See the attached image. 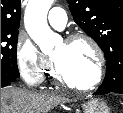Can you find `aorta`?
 Returning <instances> with one entry per match:
<instances>
[{"mask_svg": "<svg viewBox=\"0 0 123 113\" xmlns=\"http://www.w3.org/2000/svg\"><path fill=\"white\" fill-rule=\"evenodd\" d=\"M52 3L53 0H29L24 15L27 33L44 54H50L60 40L47 23V13Z\"/></svg>", "mask_w": 123, "mask_h": 113, "instance_id": "obj_1", "label": "aorta"}]
</instances>
